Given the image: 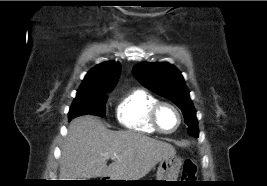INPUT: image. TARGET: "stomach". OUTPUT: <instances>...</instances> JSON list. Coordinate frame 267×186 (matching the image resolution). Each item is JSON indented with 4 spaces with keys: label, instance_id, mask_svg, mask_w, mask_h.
<instances>
[{
    "label": "stomach",
    "instance_id": "stomach-1",
    "mask_svg": "<svg viewBox=\"0 0 267 186\" xmlns=\"http://www.w3.org/2000/svg\"><path fill=\"white\" fill-rule=\"evenodd\" d=\"M181 165V158L175 154L163 158L159 163L155 180L160 182H156V185H170V182L163 181H177Z\"/></svg>",
    "mask_w": 267,
    "mask_h": 186
}]
</instances>
